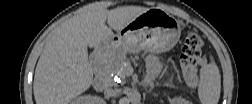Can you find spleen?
<instances>
[{
  "instance_id": "spleen-1",
  "label": "spleen",
  "mask_w": 252,
  "mask_h": 104,
  "mask_svg": "<svg viewBox=\"0 0 252 104\" xmlns=\"http://www.w3.org/2000/svg\"><path fill=\"white\" fill-rule=\"evenodd\" d=\"M221 92L219 69L211 57V62L200 70L198 96L202 104H217Z\"/></svg>"
}]
</instances>
